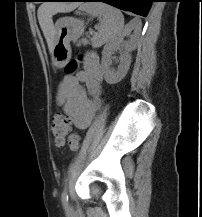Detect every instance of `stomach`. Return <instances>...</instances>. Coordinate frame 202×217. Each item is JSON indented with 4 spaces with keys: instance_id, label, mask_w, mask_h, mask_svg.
<instances>
[{
    "instance_id": "stomach-1",
    "label": "stomach",
    "mask_w": 202,
    "mask_h": 217,
    "mask_svg": "<svg viewBox=\"0 0 202 217\" xmlns=\"http://www.w3.org/2000/svg\"><path fill=\"white\" fill-rule=\"evenodd\" d=\"M84 22L73 17L60 18L55 25L52 60L56 67L65 66L71 58L70 42L77 40L84 31Z\"/></svg>"
}]
</instances>
